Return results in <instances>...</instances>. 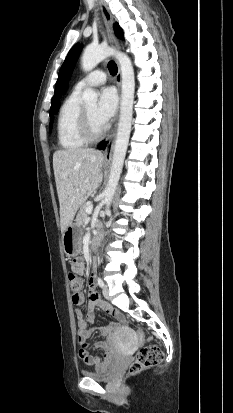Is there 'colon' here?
<instances>
[{"instance_id":"5ec220e1","label":"colon","mask_w":233,"mask_h":413,"mask_svg":"<svg viewBox=\"0 0 233 413\" xmlns=\"http://www.w3.org/2000/svg\"><path fill=\"white\" fill-rule=\"evenodd\" d=\"M70 289L73 294L78 293L83 286V279L70 273L68 276ZM163 360L162 350L155 345H146L140 348L136 359L128 368L130 374H136L146 368L158 365Z\"/></svg>"}]
</instances>
